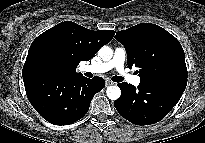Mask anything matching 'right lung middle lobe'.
Returning <instances> with one entry per match:
<instances>
[{
  "label": "right lung middle lobe",
  "mask_w": 205,
  "mask_h": 143,
  "mask_svg": "<svg viewBox=\"0 0 205 143\" xmlns=\"http://www.w3.org/2000/svg\"><path fill=\"white\" fill-rule=\"evenodd\" d=\"M32 60L35 66L63 72L68 61V55L58 44L46 42L34 49Z\"/></svg>",
  "instance_id": "right-lung-middle-lobe-1"
}]
</instances>
